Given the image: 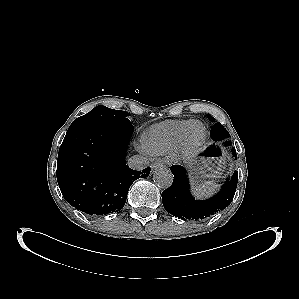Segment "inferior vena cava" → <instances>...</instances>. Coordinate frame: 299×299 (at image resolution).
<instances>
[{"mask_svg": "<svg viewBox=\"0 0 299 299\" xmlns=\"http://www.w3.org/2000/svg\"><path fill=\"white\" fill-rule=\"evenodd\" d=\"M128 166L134 170H142L149 165V160L147 157L142 155H134L128 159Z\"/></svg>", "mask_w": 299, "mask_h": 299, "instance_id": "1", "label": "inferior vena cava"}]
</instances>
